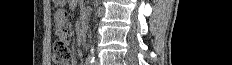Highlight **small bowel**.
I'll list each match as a JSON object with an SVG mask.
<instances>
[{
    "label": "small bowel",
    "mask_w": 232,
    "mask_h": 65,
    "mask_svg": "<svg viewBox=\"0 0 232 65\" xmlns=\"http://www.w3.org/2000/svg\"><path fill=\"white\" fill-rule=\"evenodd\" d=\"M57 16L54 17L55 21H66L67 15L70 17L72 14L69 12H57ZM55 27L58 28V32H55V37H66V40H77V35H72L70 29H67V23H56ZM62 65H70L69 63H63Z\"/></svg>",
    "instance_id": "small-bowel-1"
}]
</instances>
